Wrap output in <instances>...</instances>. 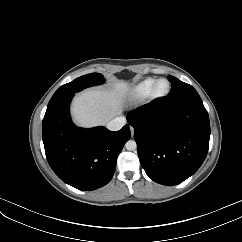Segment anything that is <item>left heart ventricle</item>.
Here are the masks:
<instances>
[{
    "instance_id": "b2bd125f",
    "label": "left heart ventricle",
    "mask_w": 242,
    "mask_h": 242,
    "mask_svg": "<svg viewBox=\"0 0 242 242\" xmlns=\"http://www.w3.org/2000/svg\"><path fill=\"white\" fill-rule=\"evenodd\" d=\"M167 87H168V85H167V83H166L165 81L160 82V83L158 84V86H157V91H158V93H163V92H165L166 89H167Z\"/></svg>"
}]
</instances>
